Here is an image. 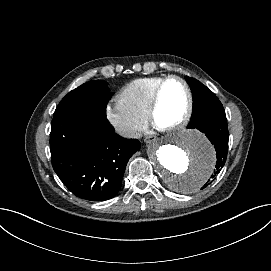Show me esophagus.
Segmentation results:
<instances>
[{"mask_svg":"<svg viewBox=\"0 0 271 271\" xmlns=\"http://www.w3.org/2000/svg\"><path fill=\"white\" fill-rule=\"evenodd\" d=\"M157 137L155 135H149L146 136L144 139V142L147 144H152V143H156L157 142Z\"/></svg>","mask_w":271,"mask_h":271,"instance_id":"1","label":"esophagus"}]
</instances>
